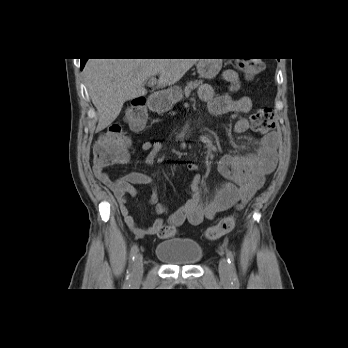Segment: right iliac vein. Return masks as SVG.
<instances>
[{
    "instance_id": "1",
    "label": "right iliac vein",
    "mask_w": 348,
    "mask_h": 348,
    "mask_svg": "<svg viewBox=\"0 0 348 348\" xmlns=\"http://www.w3.org/2000/svg\"><path fill=\"white\" fill-rule=\"evenodd\" d=\"M143 275V257L139 253L136 255L134 264H133V271H132V281L133 282H139Z\"/></svg>"
}]
</instances>
